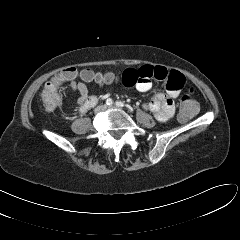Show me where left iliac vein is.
<instances>
[{
  "label": "left iliac vein",
  "mask_w": 240,
  "mask_h": 240,
  "mask_svg": "<svg viewBox=\"0 0 240 240\" xmlns=\"http://www.w3.org/2000/svg\"><path fill=\"white\" fill-rule=\"evenodd\" d=\"M115 106H105L104 109H113Z\"/></svg>",
  "instance_id": "obj_1"
}]
</instances>
